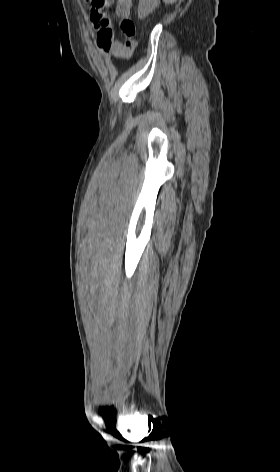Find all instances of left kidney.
Returning a JSON list of instances; mask_svg holds the SVG:
<instances>
[{"label":"left kidney","instance_id":"left-kidney-1","mask_svg":"<svg viewBox=\"0 0 280 472\" xmlns=\"http://www.w3.org/2000/svg\"><path fill=\"white\" fill-rule=\"evenodd\" d=\"M164 1H170V0H164ZM156 6H157V0H139L138 17L142 19L148 16L149 13H151Z\"/></svg>","mask_w":280,"mask_h":472}]
</instances>
